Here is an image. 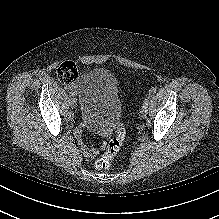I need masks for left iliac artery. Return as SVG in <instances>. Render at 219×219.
<instances>
[{
    "mask_svg": "<svg viewBox=\"0 0 219 219\" xmlns=\"http://www.w3.org/2000/svg\"><path fill=\"white\" fill-rule=\"evenodd\" d=\"M149 100H150V95L144 99L143 105L148 106Z\"/></svg>",
    "mask_w": 219,
    "mask_h": 219,
    "instance_id": "44dca946",
    "label": "left iliac artery"
}]
</instances>
